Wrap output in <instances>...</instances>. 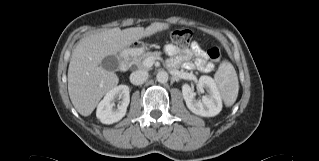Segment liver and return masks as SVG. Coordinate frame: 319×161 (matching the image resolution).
I'll use <instances>...</instances> for the list:
<instances>
[{
    "mask_svg": "<svg viewBox=\"0 0 319 161\" xmlns=\"http://www.w3.org/2000/svg\"><path fill=\"white\" fill-rule=\"evenodd\" d=\"M168 28L167 23L154 22L146 28H113L82 38L72 51L68 68V92L75 109L89 116L101 98L118 84L117 75L101 66L105 57Z\"/></svg>",
    "mask_w": 319,
    "mask_h": 161,
    "instance_id": "1",
    "label": "liver"
}]
</instances>
